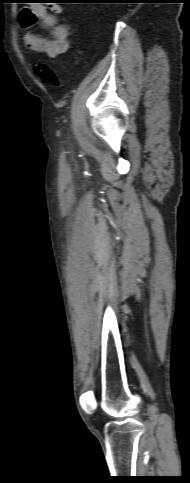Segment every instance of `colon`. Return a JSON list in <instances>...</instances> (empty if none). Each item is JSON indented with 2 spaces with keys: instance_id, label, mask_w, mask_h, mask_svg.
Wrapping results in <instances>:
<instances>
[{
  "instance_id": "5ec220e1",
  "label": "colon",
  "mask_w": 190,
  "mask_h": 483,
  "mask_svg": "<svg viewBox=\"0 0 190 483\" xmlns=\"http://www.w3.org/2000/svg\"><path fill=\"white\" fill-rule=\"evenodd\" d=\"M34 73L45 84L51 87H60L62 85V80L59 73L45 62L37 63L34 67Z\"/></svg>"
}]
</instances>
